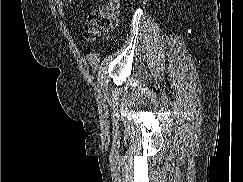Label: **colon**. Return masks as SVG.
Returning a JSON list of instances; mask_svg holds the SVG:
<instances>
[{
    "mask_svg": "<svg viewBox=\"0 0 243 182\" xmlns=\"http://www.w3.org/2000/svg\"><path fill=\"white\" fill-rule=\"evenodd\" d=\"M120 5L121 0H106L100 7L91 10L84 25L85 38L95 40L111 32L117 25Z\"/></svg>",
    "mask_w": 243,
    "mask_h": 182,
    "instance_id": "1",
    "label": "colon"
}]
</instances>
